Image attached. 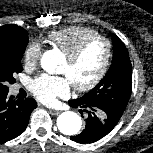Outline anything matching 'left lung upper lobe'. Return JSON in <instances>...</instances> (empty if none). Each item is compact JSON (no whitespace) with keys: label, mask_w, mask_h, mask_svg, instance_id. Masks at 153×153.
Wrapping results in <instances>:
<instances>
[{"label":"left lung upper lobe","mask_w":153,"mask_h":153,"mask_svg":"<svg viewBox=\"0 0 153 153\" xmlns=\"http://www.w3.org/2000/svg\"><path fill=\"white\" fill-rule=\"evenodd\" d=\"M111 36L114 38V55L110 69L96 87L76 100L98 108L118 122L131 95L132 68L124 43Z\"/></svg>","instance_id":"obj_1"}]
</instances>
